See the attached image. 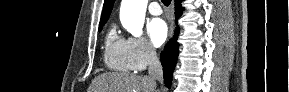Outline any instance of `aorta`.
<instances>
[{"label":"aorta","instance_id":"1","mask_svg":"<svg viewBox=\"0 0 289 92\" xmlns=\"http://www.w3.org/2000/svg\"><path fill=\"white\" fill-rule=\"evenodd\" d=\"M148 0H122L120 20L123 27L135 37L142 35Z\"/></svg>","mask_w":289,"mask_h":92}]
</instances>
